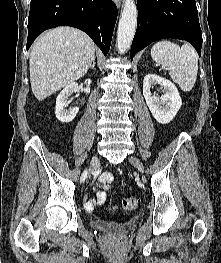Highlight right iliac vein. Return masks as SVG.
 Wrapping results in <instances>:
<instances>
[{
	"mask_svg": "<svg viewBox=\"0 0 221 263\" xmlns=\"http://www.w3.org/2000/svg\"><path fill=\"white\" fill-rule=\"evenodd\" d=\"M98 168H99V159L97 155H94L91 160L90 172L91 173L96 172Z\"/></svg>",
	"mask_w": 221,
	"mask_h": 263,
	"instance_id": "obj_1",
	"label": "right iliac vein"
}]
</instances>
